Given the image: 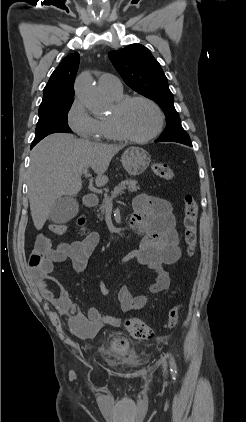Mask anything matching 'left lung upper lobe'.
I'll list each match as a JSON object with an SVG mask.
<instances>
[{"mask_svg": "<svg viewBox=\"0 0 246 422\" xmlns=\"http://www.w3.org/2000/svg\"><path fill=\"white\" fill-rule=\"evenodd\" d=\"M109 58L130 88L162 108L166 116V128L156 141L191 142L174 107L167 78L150 51L141 44H131L121 50L111 51Z\"/></svg>", "mask_w": 246, "mask_h": 422, "instance_id": "left-lung-upper-lobe-1", "label": "left lung upper lobe"}]
</instances>
